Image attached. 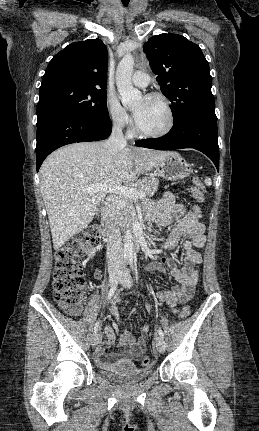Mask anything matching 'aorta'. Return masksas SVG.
<instances>
[{"label":"aorta","mask_w":259,"mask_h":431,"mask_svg":"<svg viewBox=\"0 0 259 431\" xmlns=\"http://www.w3.org/2000/svg\"><path fill=\"white\" fill-rule=\"evenodd\" d=\"M134 64V58L130 54H127L122 58L116 69V85L122 104L126 108H134L142 99L141 92L135 89L131 83ZM132 253V233L130 230H127L124 236V254L130 256Z\"/></svg>","instance_id":"762f6f07"}]
</instances>
